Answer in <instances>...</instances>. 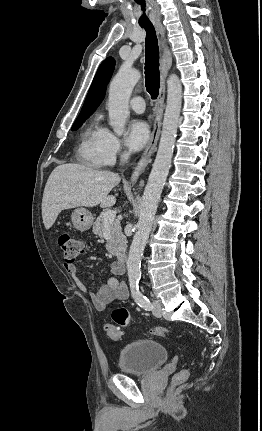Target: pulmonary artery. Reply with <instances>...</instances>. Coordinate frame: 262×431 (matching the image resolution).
I'll list each match as a JSON object with an SVG mask.
<instances>
[{"instance_id":"pulmonary-artery-1","label":"pulmonary artery","mask_w":262,"mask_h":431,"mask_svg":"<svg viewBox=\"0 0 262 431\" xmlns=\"http://www.w3.org/2000/svg\"><path fill=\"white\" fill-rule=\"evenodd\" d=\"M130 107L136 113L145 111V100L142 96H135L130 100Z\"/></svg>"}]
</instances>
